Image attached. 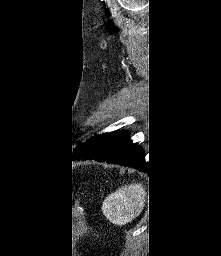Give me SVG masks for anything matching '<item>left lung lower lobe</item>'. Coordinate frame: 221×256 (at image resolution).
<instances>
[{
    "label": "left lung lower lobe",
    "mask_w": 221,
    "mask_h": 256,
    "mask_svg": "<svg viewBox=\"0 0 221 256\" xmlns=\"http://www.w3.org/2000/svg\"><path fill=\"white\" fill-rule=\"evenodd\" d=\"M95 160L135 167L150 172L144 151L132 143L127 131H115L97 135L83 143L70 160Z\"/></svg>",
    "instance_id": "obj_1"
}]
</instances>
